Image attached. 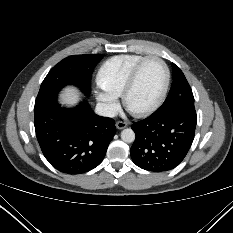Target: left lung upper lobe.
Returning <instances> with one entry per match:
<instances>
[{"label":"left lung upper lobe","mask_w":233,"mask_h":233,"mask_svg":"<svg viewBox=\"0 0 233 233\" xmlns=\"http://www.w3.org/2000/svg\"><path fill=\"white\" fill-rule=\"evenodd\" d=\"M173 83L162 106L154 113L160 115L177 108H194V97L183 72L172 63Z\"/></svg>","instance_id":"obj_1"}]
</instances>
